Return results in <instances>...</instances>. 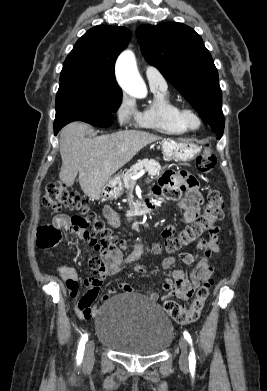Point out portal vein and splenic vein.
Returning <instances> with one entry per match:
<instances>
[{
    "label": "portal vein and splenic vein",
    "mask_w": 267,
    "mask_h": 391,
    "mask_svg": "<svg viewBox=\"0 0 267 391\" xmlns=\"http://www.w3.org/2000/svg\"><path fill=\"white\" fill-rule=\"evenodd\" d=\"M144 174H145V170H142V171H140L139 173H137L136 175L132 176L131 178H132L133 180H136L137 178L141 177V176L144 175Z\"/></svg>",
    "instance_id": "18ae733b"
}]
</instances>
